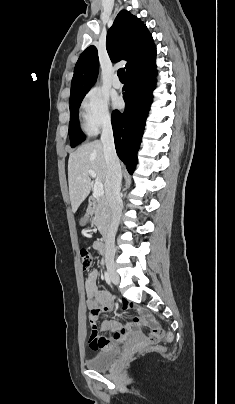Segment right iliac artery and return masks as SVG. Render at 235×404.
<instances>
[{
    "label": "right iliac artery",
    "mask_w": 235,
    "mask_h": 404,
    "mask_svg": "<svg viewBox=\"0 0 235 404\" xmlns=\"http://www.w3.org/2000/svg\"><path fill=\"white\" fill-rule=\"evenodd\" d=\"M104 277H105L106 282H107L108 284H110V283H111V278H110V276H109V273H108V272H105Z\"/></svg>",
    "instance_id": "82829eb1"
}]
</instances>
